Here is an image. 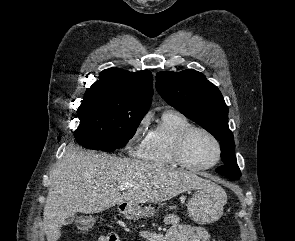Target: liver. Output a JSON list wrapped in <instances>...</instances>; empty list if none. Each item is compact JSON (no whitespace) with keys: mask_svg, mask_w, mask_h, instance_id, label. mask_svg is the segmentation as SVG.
Segmentation results:
<instances>
[{"mask_svg":"<svg viewBox=\"0 0 295 241\" xmlns=\"http://www.w3.org/2000/svg\"><path fill=\"white\" fill-rule=\"evenodd\" d=\"M43 212L47 241H58L67 217L93 214L112 206L169 200L209 181L158 163L87 153L69 146L50 176ZM121 184L129 187L119 192Z\"/></svg>","mask_w":295,"mask_h":241,"instance_id":"liver-1","label":"liver"}]
</instances>
